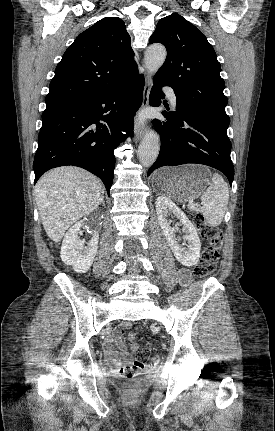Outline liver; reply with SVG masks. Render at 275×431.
I'll use <instances>...</instances> for the list:
<instances>
[{"mask_svg":"<svg viewBox=\"0 0 275 431\" xmlns=\"http://www.w3.org/2000/svg\"><path fill=\"white\" fill-rule=\"evenodd\" d=\"M36 203L48 237L59 242L65 231L103 201L101 181L78 167H59L44 174L35 186Z\"/></svg>","mask_w":275,"mask_h":431,"instance_id":"1","label":"liver"}]
</instances>
